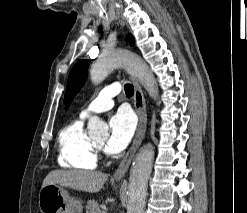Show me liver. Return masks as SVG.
<instances>
[{"instance_id":"6515ba94","label":"liver","mask_w":247,"mask_h":213,"mask_svg":"<svg viewBox=\"0 0 247 213\" xmlns=\"http://www.w3.org/2000/svg\"><path fill=\"white\" fill-rule=\"evenodd\" d=\"M108 175L99 171L54 170L44 179L42 187L48 184H58L79 191L96 193L101 190Z\"/></svg>"}]
</instances>
